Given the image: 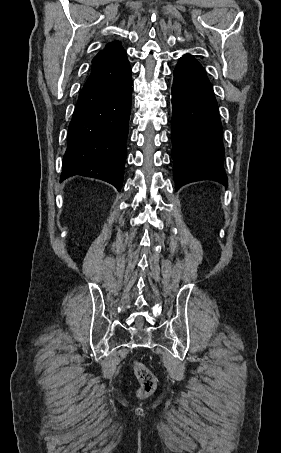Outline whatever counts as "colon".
Here are the masks:
<instances>
[{
    "label": "colon",
    "mask_w": 281,
    "mask_h": 453,
    "mask_svg": "<svg viewBox=\"0 0 281 453\" xmlns=\"http://www.w3.org/2000/svg\"><path fill=\"white\" fill-rule=\"evenodd\" d=\"M132 373L137 378L141 379L145 384L149 385L153 380L151 369L141 362H135L132 367Z\"/></svg>",
    "instance_id": "obj_1"
}]
</instances>
